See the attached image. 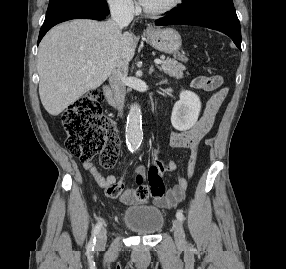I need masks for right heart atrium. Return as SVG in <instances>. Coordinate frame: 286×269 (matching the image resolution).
Here are the masks:
<instances>
[{"label":"right heart atrium","mask_w":286,"mask_h":269,"mask_svg":"<svg viewBox=\"0 0 286 269\" xmlns=\"http://www.w3.org/2000/svg\"><path fill=\"white\" fill-rule=\"evenodd\" d=\"M111 9L126 15H132L136 12L134 0H106Z\"/></svg>","instance_id":"d8ad5b80"}]
</instances>
